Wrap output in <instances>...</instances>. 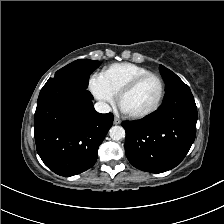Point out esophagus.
<instances>
[{"label":"esophagus","instance_id":"1","mask_svg":"<svg viewBox=\"0 0 224 224\" xmlns=\"http://www.w3.org/2000/svg\"><path fill=\"white\" fill-rule=\"evenodd\" d=\"M113 123H114L115 125H119V124H121V120H120L119 118H114Z\"/></svg>","mask_w":224,"mask_h":224}]
</instances>
